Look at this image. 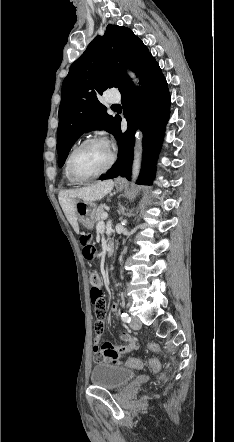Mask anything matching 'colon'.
Instances as JSON below:
<instances>
[{"mask_svg": "<svg viewBox=\"0 0 234 442\" xmlns=\"http://www.w3.org/2000/svg\"><path fill=\"white\" fill-rule=\"evenodd\" d=\"M89 239H90V237L88 235H82L80 238V241L83 245L84 258L87 259L88 261H93L96 257V248L92 244L89 243ZM99 279H100L99 275L96 272H92L90 274V283L92 286V288H91V302H92L96 316H98L99 314H106V310H107L106 301L104 299L102 291H101V289H99L96 286L99 282ZM134 342H136V341H134ZM127 344H126V348H128ZM150 348L155 352H158V353L161 352L160 347L156 344H151ZM135 350L136 349H134L132 351H135ZM147 365L151 371L157 372L160 368V363H159L158 357H156V356L148 357L147 358ZM141 366H142V363H141L139 357L134 356V357L128 358V363L126 364V369L135 371V370H137V368H140ZM157 380H158L159 384H166L168 379H167L166 375H159Z\"/></svg>", "mask_w": 234, "mask_h": 442, "instance_id": "obj_1", "label": "colon"}]
</instances>
